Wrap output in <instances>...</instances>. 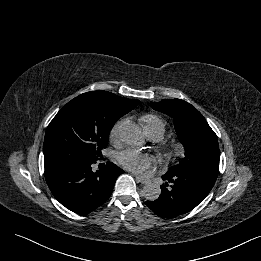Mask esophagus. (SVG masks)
Listing matches in <instances>:
<instances>
[{
  "label": "esophagus",
  "instance_id": "obj_1",
  "mask_svg": "<svg viewBox=\"0 0 261 261\" xmlns=\"http://www.w3.org/2000/svg\"><path fill=\"white\" fill-rule=\"evenodd\" d=\"M136 180H137V182H139L141 184L150 183V180L148 178H144V177H140V176H136Z\"/></svg>",
  "mask_w": 261,
  "mask_h": 261
}]
</instances>
